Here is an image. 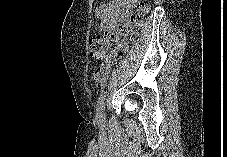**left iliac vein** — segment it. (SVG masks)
<instances>
[{
    "label": "left iliac vein",
    "mask_w": 227,
    "mask_h": 157,
    "mask_svg": "<svg viewBox=\"0 0 227 157\" xmlns=\"http://www.w3.org/2000/svg\"><path fill=\"white\" fill-rule=\"evenodd\" d=\"M104 107V106H103ZM103 108H102V110H101V112H100V115H101V119L103 120L104 119V115H103Z\"/></svg>",
    "instance_id": "1"
}]
</instances>
